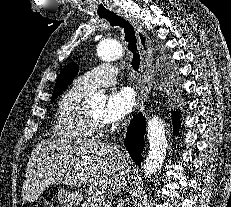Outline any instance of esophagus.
I'll use <instances>...</instances> for the list:
<instances>
[{
  "label": "esophagus",
  "mask_w": 231,
  "mask_h": 207,
  "mask_svg": "<svg viewBox=\"0 0 231 207\" xmlns=\"http://www.w3.org/2000/svg\"><path fill=\"white\" fill-rule=\"evenodd\" d=\"M116 13L119 16L124 17L126 20H128L135 29L136 36L138 39V44H139V51H140L142 62H143L142 68L143 70H145L144 80H143V84L145 86L150 81V74L148 70L152 66V62H153V49H152L150 40L146 32L142 29V27L138 24V22L132 16L124 13L123 11H119V10ZM144 86H143L142 93L145 90Z\"/></svg>",
  "instance_id": "esophagus-1"
}]
</instances>
